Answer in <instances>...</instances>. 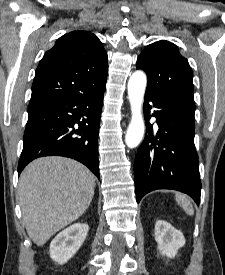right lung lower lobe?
I'll list each match as a JSON object with an SVG mask.
<instances>
[{
    "mask_svg": "<svg viewBox=\"0 0 225 275\" xmlns=\"http://www.w3.org/2000/svg\"><path fill=\"white\" fill-rule=\"evenodd\" d=\"M106 80L91 94L28 108L18 174L38 157L59 155L83 163L100 177L98 133Z\"/></svg>",
    "mask_w": 225,
    "mask_h": 275,
    "instance_id": "98d812e1",
    "label": "right lung lower lobe"
}]
</instances>
